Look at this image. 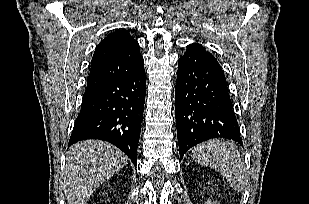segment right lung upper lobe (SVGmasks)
<instances>
[{
  "label": "right lung upper lobe",
  "instance_id": "obj_1",
  "mask_svg": "<svg viewBox=\"0 0 309 204\" xmlns=\"http://www.w3.org/2000/svg\"><path fill=\"white\" fill-rule=\"evenodd\" d=\"M143 64L138 42L126 30L114 31L95 49L86 89L134 72Z\"/></svg>",
  "mask_w": 309,
  "mask_h": 204
}]
</instances>
